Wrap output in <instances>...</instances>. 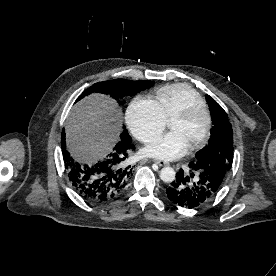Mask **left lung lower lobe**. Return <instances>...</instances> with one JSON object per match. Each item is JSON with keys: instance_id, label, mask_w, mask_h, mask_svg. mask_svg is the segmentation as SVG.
I'll return each instance as SVG.
<instances>
[{"instance_id": "obj_1", "label": "left lung lower lobe", "mask_w": 276, "mask_h": 276, "mask_svg": "<svg viewBox=\"0 0 276 276\" xmlns=\"http://www.w3.org/2000/svg\"><path fill=\"white\" fill-rule=\"evenodd\" d=\"M189 167L190 174L180 169L176 174V180L166 189V193L175 204L191 209L215 197L223 182L220 176L211 173L207 167L200 169V164L194 162H191Z\"/></svg>"}]
</instances>
